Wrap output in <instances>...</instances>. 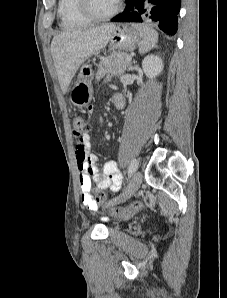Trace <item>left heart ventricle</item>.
<instances>
[{"label":"left heart ventricle","mask_w":227,"mask_h":298,"mask_svg":"<svg viewBox=\"0 0 227 298\" xmlns=\"http://www.w3.org/2000/svg\"><path fill=\"white\" fill-rule=\"evenodd\" d=\"M91 8L98 15H105L112 11L117 0H90Z\"/></svg>","instance_id":"left-heart-ventricle-1"}]
</instances>
